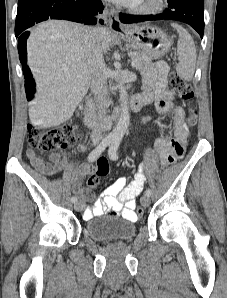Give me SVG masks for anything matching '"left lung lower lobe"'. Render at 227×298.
Instances as JSON below:
<instances>
[{
    "instance_id": "1",
    "label": "left lung lower lobe",
    "mask_w": 227,
    "mask_h": 298,
    "mask_svg": "<svg viewBox=\"0 0 227 298\" xmlns=\"http://www.w3.org/2000/svg\"><path fill=\"white\" fill-rule=\"evenodd\" d=\"M169 8L158 15H127L120 13L119 19L125 24L155 21L177 20L191 25L201 36L204 33V0H168Z\"/></svg>"
}]
</instances>
